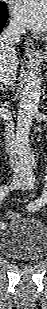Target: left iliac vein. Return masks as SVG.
I'll return each mask as SVG.
<instances>
[{
    "mask_svg": "<svg viewBox=\"0 0 47 309\" xmlns=\"http://www.w3.org/2000/svg\"><path fill=\"white\" fill-rule=\"evenodd\" d=\"M28 185H29V184H28ZM28 185H27V183L25 182V183L21 186V188H22L23 190H26L27 187H28Z\"/></svg>",
    "mask_w": 47,
    "mask_h": 309,
    "instance_id": "1",
    "label": "left iliac vein"
}]
</instances>
